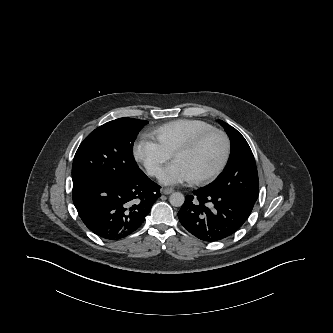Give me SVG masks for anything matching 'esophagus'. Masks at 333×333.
<instances>
[{
	"label": "esophagus",
	"mask_w": 333,
	"mask_h": 333,
	"mask_svg": "<svg viewBox=\"0 0 333 333\" xmlns=\"http://www.w3.org/2000/svg\"><path fill=\"white\" fill-rule=\"evenodd\" d=\"M162 192H163V194L168 195V194L173 193V192H174V189H172V188H164V189L162 190Z\"/></svg>",
	"instance_id": "obj_1"
}]
</instances>
